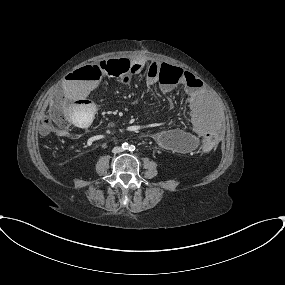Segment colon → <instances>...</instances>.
<instances>
[{"instance_id":"1","label":"colon","mask_w":285,"mask_h":285,"mask_svg":"<svg viewBox=\"0 0 285 285\" xmlns=\"http://www.w3.org/2000/svg\"><path fill=\"white\" fill-rule=\"evenodd\" d=\"M138 71L127 59L102 61L93 66L83 67L75 74L80 81L91 80L94 78H101L103 76H110L118 78L122 81H130L135 73ZM183 71L176 67H166L163 70L159 68L156 75L157 79L168 85L181 84L183 81ZM92 111V109H91ZM69 115L78 120L80 127H88L92 123L93 114H90L87 119L79 116L76 110H70L59 100H54L48 107L47 113L40 120V131L42 134L48 133H63L68 130L70 125ZM218 138L214 135H206L202 139L201 149L204 152L214 151L218 147Z\"/></svg>"}]
</instances>
